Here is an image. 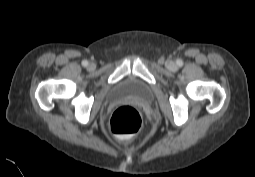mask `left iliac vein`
Returning <instances> with one entry per match:
<instances>
[{
	"mask_svg": "<svg viewBox=\"0 0 255 177\" xmlns=\"http://www.w3.org/2000/svg\"><path fill=\"white\" fill-rule=\"evenodd\" d=\"M168 68H169L170 70H175V69H176V64H175L174 62H169V63H168Z\"/></svg>",
	"mask_w": 255,
	"mask_h": 177,
	"instance_id": "1",
	"label": "left iliac vein"
}]
</instances>
